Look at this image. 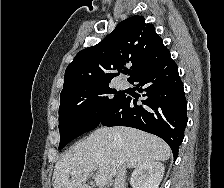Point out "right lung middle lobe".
<instances>
[{
    "label": "right lung middle lobe",
    "instance_id": "1",
    "mask_svg": "<svg viewBox=\"0 0 224 188\" xmlns=\"http://www.w3.org/2000/svg\"><path fill=\"white\" fill-rule=\"evenodd\" d=\"M109 84L60 94L59 131L62 149L76 137L95 129L124 99ZM98 113L95 114L94 111Z\"/></svg>",
    "mask_w": 224,
    "mask_h": 188
}]
</instances>
